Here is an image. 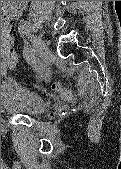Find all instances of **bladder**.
Returning a JSON list of instances; mask_svg holds the SVG:
<instances>
[{
    "label": "bladder",
    "instance_id": "bladder-1",
    "mask_svg": "<svg viewBox=\"0 0 121 169\" xmlns=\"http://www.w3.org/2000/svg\"><path fill=\"white\" fill-rule=\"evenodd\" d=\"M1 106L11 115L36 117L44 113L49 104L39 94L7 78L1 83Z\"/></svg>",
    "mask_w": 121,
    "mask_h": 169
}]
</instances>
